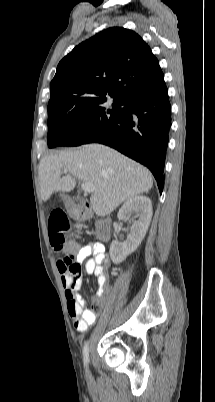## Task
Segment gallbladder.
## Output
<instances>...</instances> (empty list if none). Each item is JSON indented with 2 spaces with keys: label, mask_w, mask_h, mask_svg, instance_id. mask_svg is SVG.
Instances as JSON below:
<instances>
[{
  "label": "gallbladder",
  "mask_w": 215,
  "mask_h": 402,
  "mask_svg": "<svg viewBox=\"0 0 215 402\" xmlns=\"http://www.w3.org/2000/svg\"><path fill=\"white\" fill-rule=\"evenodd\" d=\"M76 202H80L81 201V198L79 197V196H76V197H74L73 198Z\"/></svg>",
  "instance_id": "1"
}]
</instances>
